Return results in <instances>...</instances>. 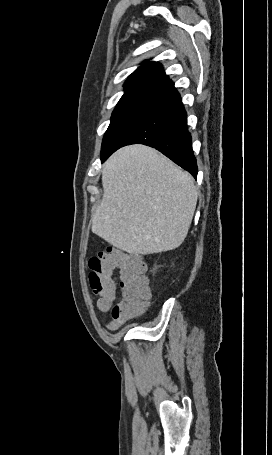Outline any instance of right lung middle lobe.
Returning <instances> with one entry per match:
<instances>
[{"label":"right lung middle lobe","instance_id":"right-lung-middle-lobe-1","mask_svg":"<svg viewBox=\"0 0 272 455\" xmlns=\"http://www.w3.org/2000/svg\"><path fill=\"white\" fill-rule=\"evenodd\" d=\"M164 106L162 102L141 99L118 102L102 141L101 157L131 128Z\"/></svg>","mask_w":272,"mask_h":455}]
</instances>
